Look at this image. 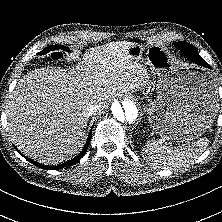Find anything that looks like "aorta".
I'll use <instances>...</instances> for the list:
<instances>
[{
	"instance_id": "aorta-1",
	"label": "aorta",
	"mask_w": 222,
	"mask_h": 222,
	"mask_svg": "<svg viewBox=\"0 0 222 222\" xmlns=\"http://www.w3.org/2000/svg\"><path fill=\"white\" fill-rule=\"evenodd\" d=\"M113 118L121 125L137 121L139 111L137 103L132 98H124L121 102L115 101L111 106Z\"/></svg>"
}]
</instances>
